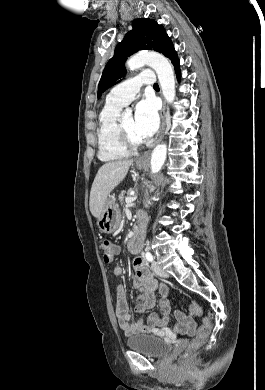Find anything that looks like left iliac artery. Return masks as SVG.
<instances>
[{
  "mask_svg": "<svg viewBox=\"0 0 265 390\" xmlns=\"http://www.w3.org/2000/svg\"><path fill=\"white\" fill-rule=\"evenodd\" d=\"M145 257L149 262L153 261V256L149 251L146 252Z\"/></svg>",
  "mask_w": 265,
  "mask_h": 390,
  "instance_id": "obj_1",
  "label": "left iliac artery"
}]
</instances>
